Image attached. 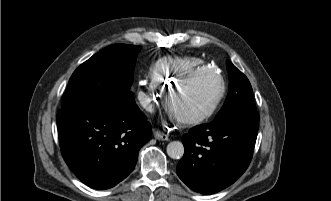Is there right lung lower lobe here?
<instances>
[{"mask_svg":"<svg viewBox=\"0 0 331 201\" xmlns=\"http://www.w3.org/2000/svg\"><path fill=\"white\" fill-rule=\"evenodd\" d=\"M63 158L75 175L95 189H108L134 169L152 127L131 91L103 95L57 115Z\"/></svg>","mask_w":331,"mask_h":201,"instance_id":"98d812e1","label":"right lung lower lobe"}]
</instances>
